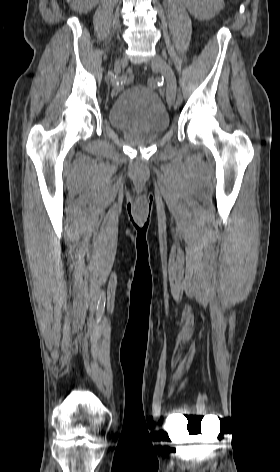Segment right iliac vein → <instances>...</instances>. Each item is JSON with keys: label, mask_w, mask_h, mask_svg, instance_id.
Listing matches in <instances>:
<instances>
[{"label": "right iliac vein", "mask_w": 280, "mask_h": 472, "mask_svg": "<svg viewBox=\"0 0 280 472\" xmlns=\"http://www.w3.org/2000/svg\"><path fill=\"white\" fill-rule=\"evenodd\" d=\"M115 68H120V63H119V62H117V63L115 64Z\"/></svg>", "instance_id": "63e3f726"}]
</instances>
